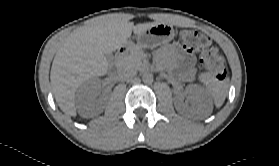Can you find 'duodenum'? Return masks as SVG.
<instances>
[{"mask_svg": "<svg viewBox=\"0 0 279 166\" xmlns=\"http://www.w3.org/2000/svg\"><path fill=\"white\" fill-rule=\"evenodd\" d=\"M133 44L131 42H127L120 46L116 52V58L113 65L114 71L120 68L124 56L128 53V51L132 48Z\"/></svg>", "mask_w": 279, "mask_h": 166, "instance_id": "410a0bca", "label": "duodenum"}]
</instances>
